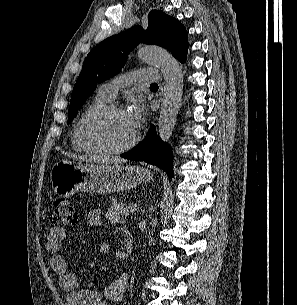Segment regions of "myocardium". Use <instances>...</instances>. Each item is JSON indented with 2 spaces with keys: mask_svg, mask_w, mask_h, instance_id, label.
I'll return each mask as SVG.
<instances>
[{
  "mask_svg": "<svg viewBox=\"0 0 297 305\" xmlns=\"http://www.w3.org/2000/svg\"><path fill=\"white\" fill-rule=\"evenodd\" d=\"M124 112L123 108L116 104H106L104 106L98 107L88 113L80 122L79 125V135L82 142L91 150L97 153L105 154V155H118L129 151L131 148L135 146L138 141V134L135 132L133 137L123 146L117 148H108L105 147L95 140H93L88 134V127L91 122L100 118L102 116L111 114Z\"/></svg>",
  "mask_w": 297,
  "mask_h": 305,
  "instance_id": "f54148a6",
  "label": "myocardium"
}]
</instances>
